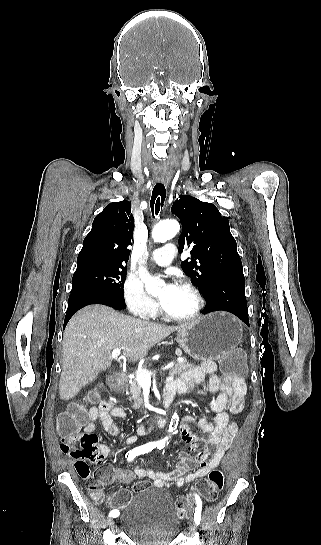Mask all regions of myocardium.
Returning <instances> with one entry per match:
<instances>
[{"label": "myocardium", "instance_id": "myocardium-1", "mask_svg": "<svg viewBox=\"0 0 321 545\" xmlns=\"http://www.w3.org/2000/svg\"><path fill=\"white\" fill-rule=\"evenodd\" d=\"M179 287L189 290L195 296V299H196L195 310L189 315H175V314L168 313L163 307H161L162 314L164 315L166 319L171 321H176V322H191L198 319L203 313L205 305H206L205 298L201 290L197 286H195L193 283L188 281H182L179 284Z\"/></svg>", "mask_w": 321, "mask_h": 545}]
</instances>
